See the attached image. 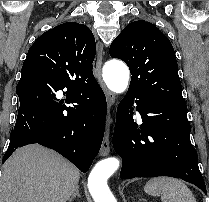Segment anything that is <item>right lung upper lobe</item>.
Masks as SVG:
<instances>
[{
  "label": "right lung upper lobe",
  "instance_id": "right-lung-upper-lobe-1",
  "mask_svg": "<svg viewBox=\"0 0 209 202\" xmlns=\"http://www.w3.org/2000/svg\"><path fill=\"white\" fill-rule=\"evenodd\" d=\"M95 53L91 30L83 24L66 22L36 39L23 63L22 74L45 72L81 90L97 82L92 72Z\"/></svg>",
  "mask_w": 209,
  "mask_h": 202
}]
</instances>
